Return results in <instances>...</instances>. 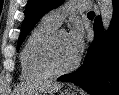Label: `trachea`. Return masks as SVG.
I'll list each match as a JSON object with an SVG mask.
<instances>
[{"label": "trachea", "mask_w": 119, "mask_h": 95, "mask_svg": "<svg viewBox=\"0 0 119 95\" xmlns=\"http://www.w3.org/2000/svg\"><path fill=\"white\" fill-rule=\"evenodd\" d=\"M88 16H94V11H90V12L88 13Z\"/></svg>", "instance_id": "1"}]
</instances>
